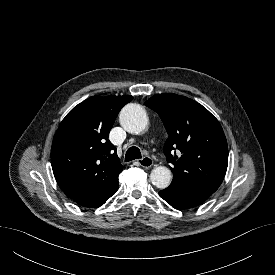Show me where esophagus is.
Instances as JSON below:
<instances>
[{"mask_svg": "<svg viewBox=\"0 0 275 275\" xmlns=\"http://www.w3.org/2000/svg\"><path fill=\"white\" fill-rule=\"evenodd\" d=\"M137 162L143 168H150L153 165V160L148 156L138 159Z\"/></svg>", "mask_w": 275, "mask_h": 275, "instance_id": "1", "label": "esophagus"}]
</instances>
